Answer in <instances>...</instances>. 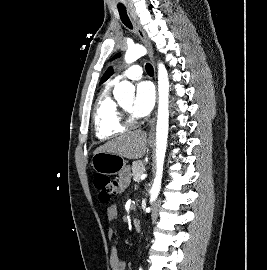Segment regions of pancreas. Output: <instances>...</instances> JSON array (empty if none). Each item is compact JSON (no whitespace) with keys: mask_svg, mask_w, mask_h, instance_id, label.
I'll return each mask as SVG.
<instances>
[{"mask_svg":"<svg viewBox=\"0 0 267 270\" xmlns=\"http://www.w3.org/2000/svg\"><path fill=\"white\" fill-rule=\"evenodd\" d=\"M146 170L145 163L143 161H134L132 163V176L133 180L139 181L140 175Z\"/></svg>","mask_w":267,"mask_h":270,"instance_id":"cf45deb5","label":"pancreas"}]
</instances>
